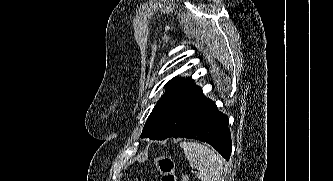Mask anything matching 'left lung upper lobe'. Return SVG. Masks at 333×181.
Wrapping results in <instances>:
<instances>
[{
	"label": "left lung upper lobe",
	"instance_id": "obj_1",
	"mask_svg": "<svg viewBox=\"0 0 333 181\" xmlns=\"http://www.w3.org/2000/svg\"><path fill=\"white\" fill-rule=\"evenodd\" d=\"M168 84V90L147 119L141 138L151 139L159 134L166 139L176 135L210 102L191 78H174Z\"/></svg>",
	"mask_w": 333,
	"mask_h": 181
}]
</instances>
